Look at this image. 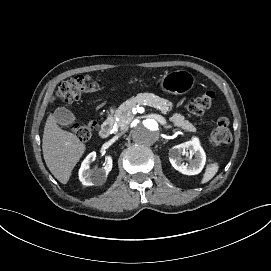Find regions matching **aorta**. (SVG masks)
Segmentation results:
<instances>
[{
	"instance_id": "obj_1",
	"label": "aorta",
	"mask_w": 271,
	"mask_h": 271,
	"mask_svg": "<svg viewBox=\"0 0 271 271\" xmlns=\"http://www.w3.org/2000/svg\"><path fill=\"white\" fill-rule=\"evenodd\" d=\"M134 143L142 146L153 145L160 136V126L156 120L147 118L139 121L131 130Z\"/></svg>"
}]
</instances>
